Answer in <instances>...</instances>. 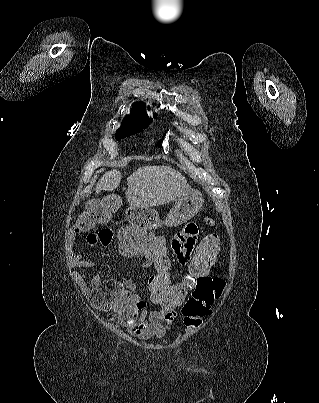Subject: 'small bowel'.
<instances>
[{
    "mask_svg": "<svg viewBox=\"0 0 319 403\" xmlns=\"http://www.w3.org/2000/svg\"><path fill=\"white\" fill-rule=\"evenodd\" d=\"M199 232V224L189 223L179 229L177 234L170 239L172 257L179 264L186 265L191 262V251L195 246ZM82 234L83 231L77 230L73 236L79 237ZM114 237L115 230L110 229L108 224H103L101 229H90L87 232L85 248L105 249L106 246L111 245V238ZM70 264L75 269L72 272L73 277L87 294L90 308L101 309V315H105V321L109 329H120L122 326L130 335L147 340L150 338H162L175 321L177 313H157V309H149L147 303L137 295L136 284L132 279H125L123 281L124 285H121L120 279H106L102 278L100 274H95L91 277L90 283H88L86 275L76 269H88L92 267V262L71 251ZM149 269L152 270V268ZM211 274L216 276L215 280L217 282L222 280L220 276L222 268L219 265H214L211 268ZM188 296L198 295L191 291ZM154 305L157 306V304ZM179 308H182V301L178 306ZM190 335L191 333L189 332L185 339ZM177 336H180L178 331Z\"/></svg>",
    "mask_w": 319,
    "mask_h": 403,
    "instance_id": "obj_1",
    "label": "small bowel"
}]
</instances>
